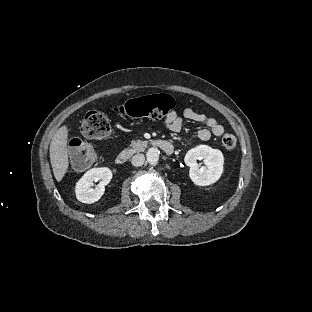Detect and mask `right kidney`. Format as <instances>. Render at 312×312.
Masks as SVG:
<instances>
[{
	"label": "right kidney",
	"instance_id": "right-kidney-1",
	"mask_svg": "<svg viewBox=\"0 0 312 312\" xmlns=\"http://www.w3.org/2000/svg\"><path fill=\"white\" fill-rule=\"evenodd\" d=\"M112 172L107 167L92 168L88 170L76 183L75 195L78 201L85 204H93L100 200L105 192V185L110 183ZM100 180L99 184L94 186L93 181Z\"/></svg>",
	"mask_w": 312,
	"mask_h": 312
}]
</instances>
